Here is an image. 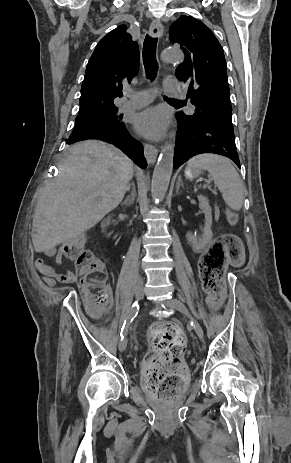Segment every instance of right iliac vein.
<instances>
[{
	"label": "right iliac vein",
	"mask_w": 291,
	"mask_h": 463,
	"mask_svg": "<svg viewBox=\"0 0 291 463\" xmlns=\"http://www.w3.org/2000/svg\"><path fill=\"white\" fill-rule=\"evenodd\" d=\"M142 284H143L142 279H138L135 282L134 293H135V299L137 301H139L141 299V297H142ZM126 347H127V340H126V338H123L119 342V350L120 351H125Z\"/></svg>",
	"instance_id": "1"
}]
</instances>
